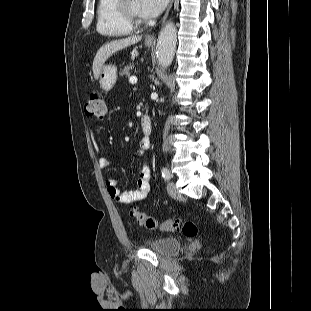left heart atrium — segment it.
<instances>
[{
  "label": "left heart atrium",
  "mask_w": 311,
  "mask_h": 311,
  "mask_svg": "<svg viewBox=\"0 0 311 311\" xmlns=\"http://www.w3.org/2000/svg\"><path fill=\"white\" fill-rule=\"evenodd\" d=\"M169 0H140V15L144 18L158 16L167 6Z\"/></svg>",
  "instance_id": "obj_1"
}]
</instances>
